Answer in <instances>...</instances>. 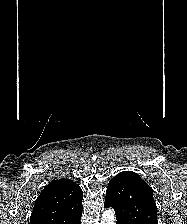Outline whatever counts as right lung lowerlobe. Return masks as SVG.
<instances>
[{
	"mask_svg": "<svg viewBox=\"0 0 187 224\" xmlns=\"http://www.w3.org/2000/svg\"><path fill=\"white\" fill-rule=\"evenodd\" d=\"M81 215H82V213H81L80 215H78L77 217L73 218V219L69 222V224H80V218H81Z\"/></svg>",
	"mask_w": 187,
	"mask_h": 224,
	"instance_id": "right-lung-lower-lobe-1",
	"label": "right lung lower lobe"
}]
</instances>
